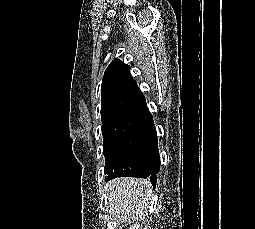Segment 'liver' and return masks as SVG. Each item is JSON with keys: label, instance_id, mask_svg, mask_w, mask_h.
Instances as JSON below:
<instances>
[{"label": "liver", "instance_id": "obj_1", "mask_svg": "<svg viewBox=\"0 0 255 229\" xmlns=\"http://www.w3.org/2000/svg\"><path fill=\"white\" fill-rule=\"evenodd\" d=\"M105 190L108 207L121 223L142 219L153 196L149 180L128 177L110 181Z\"/></svg>", "mask_w": 255, "mask_h": 229}]
</instances>
